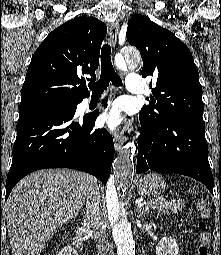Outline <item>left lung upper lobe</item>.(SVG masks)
I'll list each match as a JSON object with an SVG mask.
<instances>
[{
    "mask_svg": "<svg viewBox=\"0 0 221 255\" xmlns=\"http://www.w3.org/2000/svg\"><path fill=\"white\" fill-rule=\"evenodd\" d=\"M126 37L141 53L142 76H152L156 83L152 101L142 107L140 116L152 124L172 116L204 124L202 86L187 46L143 15H135L128 21Z\"/></svg>",
    "mask_w": 221,
    "mask_h": 255,
    "instance_id": "5c2ea615",
    "label": "left lung upper lobe"
}]
</instances>
